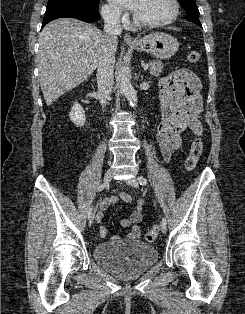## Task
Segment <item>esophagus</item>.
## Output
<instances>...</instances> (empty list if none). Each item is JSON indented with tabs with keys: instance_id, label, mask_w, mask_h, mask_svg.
<instances>
[{
	"instance_id": "esophagus-1",
	"label": "esophagus",
	"mask_w": 245,
	"mask_h": 314,
	"mask_svg": "<svg viewBox=\"0 0 245 314\" xmlns=\"http://www.w3.org/2000/svg\"><path fill=\"white\" fill-rule=\"evenodd\" d=\"M124 41L128 44H134L137 42L129 33L124 34Z\"/></svg>"
}]
</instances>
